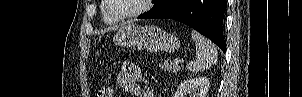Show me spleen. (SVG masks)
Listing matches in <instances>:
<instances>
[{
	"mask_svg": "<svg viewBox=\"0 0 302 97\" xmlns=\"http://www.w3.org/2000/svg\"><path fill=\"white\" fill-rule=\"evenodd\" d=\"M191 34L195 41L196 59L187 64V69L192 73H197L207 70L215 64L218 59V53L215 45L210 40L194 30H192Z\"/></svg>",
	"mask_w": 302,
	"mask_h": 97,
	"instance_id": "3e777b00",
	"label": "spleen"
}]
</instances>
